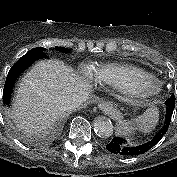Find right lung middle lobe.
I'll list each match as a JSON object with an SVG mask.
<instances>
[{"instance_id":"dd1d6c3e","label":"right lung middle lobe","mask_w":177,"mask_h":177,"mask_svg":"<svg viewBox=\"0 0 177 177\" xmlns=\"http://www.w3.org/2000/svg\"><path fill=\"white\" fill-rule=\"evenodd\" d=\"M57 50L59 51H62V52H68L69 49L67 48H63V47H56ZM45 49L42 48V47H39V48H34L32 50H30L29 52H32V53H42Z\"/></svg>"}]
</instances>
